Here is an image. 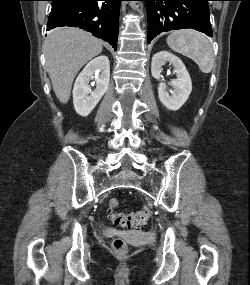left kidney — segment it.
<instances>
[{
  "mask_svg": "<svg viewBox=\"0 0 250 285\" xmlns=\"http://www.w3.org/2000/svg\"><path fill=\"white\" fill-rule=\"evenodd\" d=\"M167 62L172 64L176 79L169 83L173 87V90L170 91L171 95L167 91L166 83L161 82L158 86V96L167 109L177 111L187 101L192 91V82L183 62L167 51H160L152 57L151 73L155 79H161L162 66Z\"/></svg>",
  "mask_w": 250,
  "mask_h": 285,
  "instance_id": "5707ae66",
  "label": "left kidney"
}]
</instances>
